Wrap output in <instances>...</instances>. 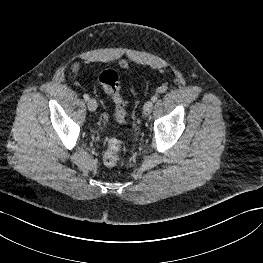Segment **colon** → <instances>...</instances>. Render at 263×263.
Here are the masks:
<instances>
[{
    "label": "colon",
    "instance_id": "obj_1",
    "mask_svg": "<svg viewBox=\"0 0 263 263\" xmlns=\"http://www.w3.org/2000/svg\"><path fill=\"white\" fill-rule=\"evenodd\" d=\"M99 83L113 100L115 107V117L119 123L125 122L126 101L121 95V85L117 73L112 69H105L98 77ZM123 156V144L117 138L107 141L103 153V161L106 166L114 167L121 161Z\"/></svg>",
    "mask_w": 263,
    "mask_h": 263
}]
</instances>
